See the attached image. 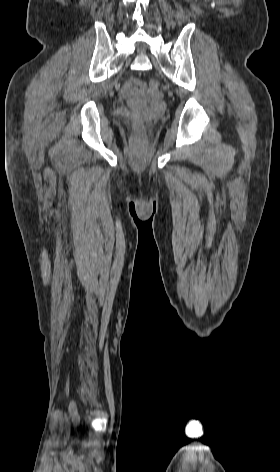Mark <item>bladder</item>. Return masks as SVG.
I'll list each match as a JSON object with an SVG mask.
<instances>
[{
	"mask_svg": "<svg viewBox=\"0 0 280 472\" xmlns=\"http://www.w3.org/2000/svg\"><path fill=\"white\" fill-rule=\"evenodd\" d=\"M132 106H133V107H144V106H145V103H144V102L137 101V102H133V103H132Z\"/></svg>",
	"mask_w": 280,
	"mask_h": 472,
	"instance_id": "bladder-1",
	"label": "bladder"
}]
</instances>
